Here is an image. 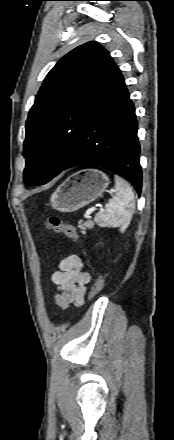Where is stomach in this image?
Listing matches in <instances>:
<instances>
[{
  "label": "stomach",
  "instance_id": "1",
  "mask_svg": "<svg viewBox=\"0 0 174 440\" xmlns=\"http://www.w3.org/2000/svg\"><path fill=\"white\" fill-rule=\"evenodd\" d=\"M108 176L97 169H83L68 177L51 195L53 209L70 213L96 200L107 188Z\"/></svg>",
  "mask_w": 174,
  "mask_h": 440
}]
</instances>
